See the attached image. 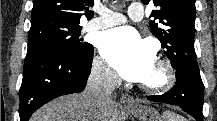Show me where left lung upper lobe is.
I'll return each mask as SVG.
<instances>
[{
    "mask_svg": "<svg viewBox=\"0 0 217 121\" xmlns=\"http://www.w3.org/2000/svg\"><path fill=\"white\" fill-rule=\"evenodd\" d=\"M153 2L158 10H152L150 21L152 34L158 38L165 54L176 69L189 67L199 70L194 50L195 0H142Z\"/></svg>",
    "mask_w": 217,
    "mask_h": 121,
    "instance_id": "5c2ea615",
    "label": "left lung upper lobe"
}]
</instances>
